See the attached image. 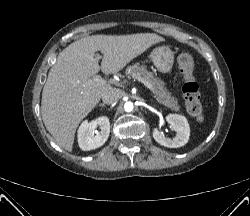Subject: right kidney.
Segmentation results:
<instances>
[{
    "instance_id": "1",
    "label": "right kidney",
    "mask_w": 250,
    "mask_h": 216,
    "mask_svg": "<svg viewBox=\"0 0 250 216\" xmlns=\"http://www.w3.org/2000/svg\"><path fill=\"white\" fill-rule=\"evenodd\" d=\"M100 127L101 131L96 130ZM95 133V135H94ZM110 134V122L108 117L101 116L93 121H84L78 129V144L83 151H89L101 147Z\"/></svg>"
}]
</instances>
